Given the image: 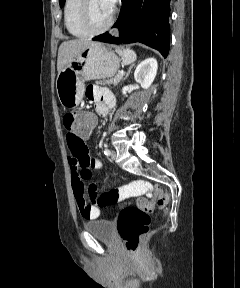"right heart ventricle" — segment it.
<instances>
[{
    "mask_svg": "<svg viewBox=\"0 0 240 288\" xmlns=\"http://www.w3.org/2000/svg\"><path fill=\"white\" fill-rule=\"evenodd\" d=\"M82 0H66L64 6V24L67 31L74 37L82 38L88 33L81 27L79 11Z\"/></svg>",
    "mask_w": 240,
    "mask_h": 288,
    "instance_id": "1",
    "label": "right heart ventricle"
}]
</instances>
